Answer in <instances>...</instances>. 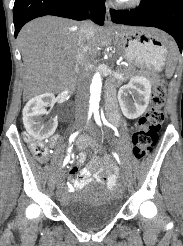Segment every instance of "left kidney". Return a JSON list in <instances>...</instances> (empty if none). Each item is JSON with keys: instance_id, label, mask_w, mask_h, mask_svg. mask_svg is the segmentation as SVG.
Returning <instances> with one entry per match:
<instances>
[{"instance_id": "5707ae66", "label": "left kidney", "mask_w": 183, "mask_h": 246, "mask_svg": "<svg viewBox=\"0 0 183 246\" xmlns=\"http://www.w3.org/2000/svg\"><path fill=\"white\" fill-rule=\"evenodd\" d=\"M132 94L133 100L128 98ZM151 96V83L144 76L135 75L127 85L120 87L118 101L121 110L128 119L140 117L146 110Z\"/></svg>"}]
</instances>
